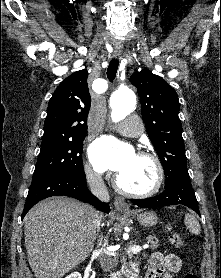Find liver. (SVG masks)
Listing matches in <instances>:
<instances>
[{"label": "liver", "instance_id": "liver-1", "mask_svg": "<svg viewBox=\"0 0 221 278\" xmlns=\"http://www.w3.org/2000/svg\"><path fill=\"white\" fill-rule=\"evenodd\" d=\"M94 208L68 197H52L25 217V247L36 278H62L92 252Z\"/></svg>", "mask_w": 221, "mask_h": 278}]
</instances>
